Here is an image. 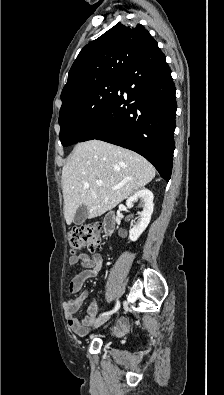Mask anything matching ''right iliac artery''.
Masks as SVG:
<instances>
[{
  "label": "right iliac artery",
  "instance_id": "right-iliac-artery-1",
  "mask_svg": "<svg viewBox=\"0 0 224 395\" xmlns=\"http://www.w3.org/2000/svg\"><path fill=\"white\" fill-rule=\"evenodd\" d=\"M119 308H120V303L117 300L115 307L111 311L104 312V313L100 314L99 317L111 315V314L117 312Z\"/></svg>",
  "mask_w": 224,
  "mask_h": 395
}]
</instances>
